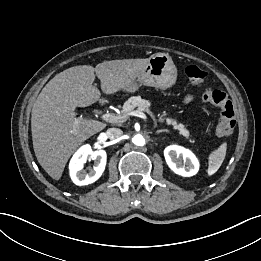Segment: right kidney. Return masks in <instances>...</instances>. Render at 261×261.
I'll return each mask as SVG.
<instances>
[{
	"label": "right kidney",
	"mask_w": 261,
	"mask_h": 261,
	"mask_svg": "<svg viewBox=\"0 0 261 261\" xmlns=\"http://www.w3.org/2000/svg\"><path fill=\"white\" fill-rule=\"evenodd\" d=\"M95 160L93 169L87 173L83 170L87 159ZM107 154L105 150L93 151L90 145L80 147L73 155L70 164V177L78 185H88L100 178L105 170Z\"/></svg>",
	"instance_id": "ca27d5eb"
}]
</instances>
